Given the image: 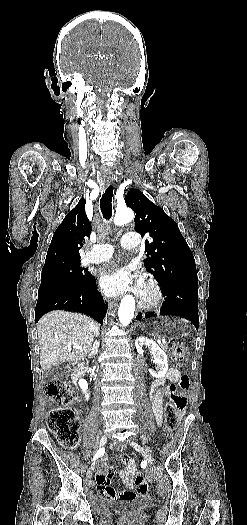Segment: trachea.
Here are the masks:
<instances>
[{"label":"trachea","instance_id":"trachea-1","mask_svg":"<svg viewBox=\"0 0 247 525\" xmlns=\"http://www.w3.org/2000/svg\"><path fill=\"white\" fill-rule=\"evenodd\" d=\"M112 198L113 188L109 185L100 199V209L105 220H110L112 217Z\"/></svg>","mask_w":247,"mask_h":525}]
</instances>
